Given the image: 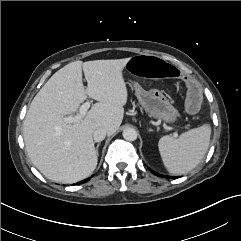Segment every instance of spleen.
I'll list each match as a JSON object with an SVG mask.
<instances>
[{"instance_id": "spleen-1", "label": "spleen", "mask_w": 241, "mask_h": 241, "mask_svg": "<svg viewBox=\"0 0 241 241\" xmlns=\"http://www.w3.org/2000/svg\"><path fill=\"white\" fill-rule=\"evenodd\" d=\"M211 127L204 124L182 133L178 138L165 135L158 142L166 169L172 174H185L203 159L210 142Z\"/></svg>"}]
</instances>
